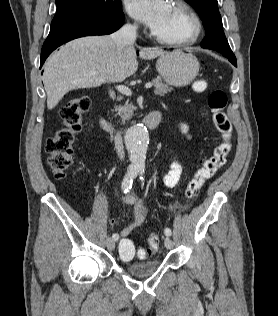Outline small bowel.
Masks as SVG:
<instances>
[{"label": "small bowel", "instance_id": "c3829d8e", "mask_svg": "<svg viewBox=\"0 0 278 316\" xmlns=\"http://www.w3.org/2000/svg\"><path fill=\"white\" fill-rule=\"evenodd\" d=\"M171 168L169 172L164 176V184L167 187H173L175 186L182 175L183 166L179 159L176 157H171ZM123 202L126 205L133 206L134 209V215L132 221L129 223L128 226L122 228L119 231V234H117L120 237H127L130 233H132L135 229L140 227L147 215V208L142 198L138 197L135 193L131 192L124 196ZM115 223L114 219L110 220V224L113 225Z\"/></svg>", "mask_w": 278, "mask_h": 316}]
</instances>
